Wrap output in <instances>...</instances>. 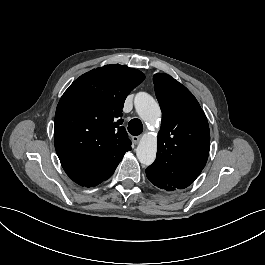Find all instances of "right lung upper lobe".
<instances>
[{"label":"right lung upper lobe","mask_w":265,"mask_h":265,"mask_svg":"<svg viewBox=\"0 0 265 265\" xmlns=\"http://www.w3.org/2000/svg\"><path fill=\"white\" fill-rule=\"evenodd\" d=\"M145 79L139 70L105 65L76 79L55 113L54 143L59 158H107L131 149L122 124L128 94Z\"/></svg>","instance_id":"1"}]
</instances>
